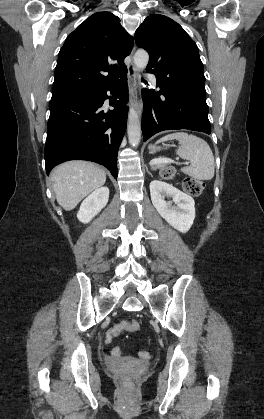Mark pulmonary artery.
<instances>
[{
	"mask_svg": "<svg viewBox=\"0 0 264 419\" xmlns=\"http://www.w3.org/2000/svg\"><path fill=\"white\" fill-rule=\"evenodd\" d=\"M149 79H150L152 82H156V77H155L153 74H150V75H149Z\"/></svg>",
	"mask_w": 264,
	"mask_h": 419,
	"instance_id": "pulmonary-artery-1",
	"label": "pulmonary artery"
}]
</instances>
